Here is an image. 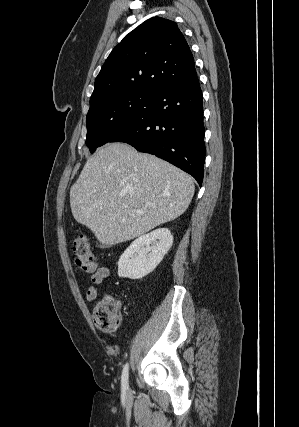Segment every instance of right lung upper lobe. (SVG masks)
Here are the masks:
<instances>
[{
    "mask_svg": "<svg viewBox=\"0 0 299 427\" xmlns=\"http://www.w3.org/2000/svg\"><path fill=\"white\" fill-rule=\"evenodd\" d=\"M195 77L193 55L177 24L153 17L112 50L95 80L90 104L122 92L154 95Z\"/></svg>",
    "mask_w": 299,
    "mask_h": 427,
    "instance_id": "obj_1",
    "label": "right lung upper lobe"
}]
</instances>
